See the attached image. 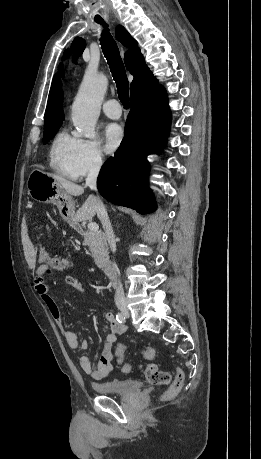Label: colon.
<instances>
[{"label":"colon","instance_id":"5ec220e1","mask_svg":"<svg viewBox=\"0 0 261 459\" xmlns=\"http://www.w3.org/2000/svg\"><path fill=\"white\" fill-rule=\"evenodd\" d=\"M33 227L32 225L30 226ZM31 233L36 236L33 239V242L36 244L34 246L37 255L40 257L42 261H48V269L52 270H66L69 269L72 265L71 261L67 258H61L59 253H56L53 257L51 252H47V247L45 245H41L42 239L37 236L38 230L36 228L31 229ZM126 349L124 344H119L117 347V357L119 362L122 364V370L124 372H130L132 370V366L123 363L122 356ZM142 355L147 360H153L156 356V351L153 347H146L142 351ZM145 376L149 383L153 385H170L167 391L163 394V398L166 400L174 398L182 389L184 383V374L180 369H177L176 372L173 374L159 369L156 364H147L144 366Z\"/></svg>","mask_w":261,"mask_h":459}]
</instances>
